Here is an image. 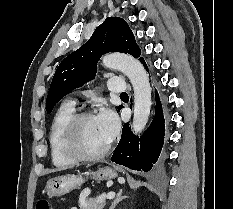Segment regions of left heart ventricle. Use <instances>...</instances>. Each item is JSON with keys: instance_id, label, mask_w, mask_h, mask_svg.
Instances as JSON below:
<instances>
[{"instance_id": "1", "label": "left heart ventricle", "mask_w": 233, "mask_h": 209, "mask_svg": "<svg viewBox=\"0 0 233 209\" xmlns=\"http://www.w3.org/2000/svg\"><path fill=\"white\" fill-rule=\"evenodd\" d=\"M108 143L95 117L85 119L79 126L76 144L86 154L99 152Z\"/></svg>"}]
</instances>
